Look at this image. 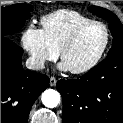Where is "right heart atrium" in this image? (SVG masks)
<instances>
[{
	"instance_id": "right-heart-atrium-1",
	"label": "right heart atrium",
	"mask_w": 123,
	"mask_h": 123,
	"mask_svg": "<svg viewBox=\"0 0 123 123\" xmlns=\"http://www.w3.org/2000/svg\"><path fill=\"white\" fill-rule=\"evenodd\" d=\"M21 45L36 69L44 68L47 62L57 58V52L49 45L42 29L32 24L23 29Z\"/></svg>"
}]
</instances>
